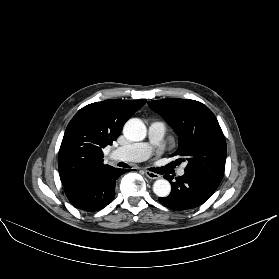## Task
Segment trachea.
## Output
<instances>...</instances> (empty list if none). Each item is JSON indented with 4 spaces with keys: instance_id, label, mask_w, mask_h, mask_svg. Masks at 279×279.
<instances>
[{
    "instance_id": "trachea-1",
    "label": "trachea",
    "mask_w": 279,
    "mask_h": 279,
    "mask_svg": "<svg viewBox=\"0 0 279 279\" xmlns=\"http://www.w3.org/2000/svg\"><path fill=\"white\" fill-rule=\"evenodd\" d=\"M124 165H125V164H121V163H119V166H121V167H125Z\"/></svg>"
}]
</instances>
